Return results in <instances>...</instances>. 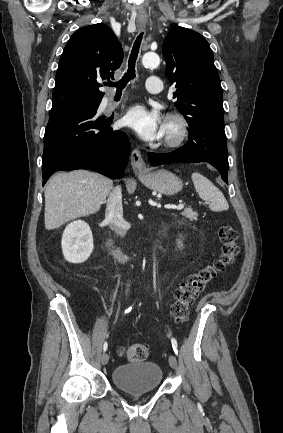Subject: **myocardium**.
I'll list each match as a JSON object with an SVG mask.
<instances>
[{"label": "myocardium", "mask_w": 283, "mask_h": 433, "mask_svg": "<svg viewBox=\"0 0 283 433\" xmlns=\"http://www.w3.org/2000/svg\"><path fill=\"white\" fill-rule=\"evenodd\" d=\"M165 122L174 123L176 129L165 133V143L162 151L172 153L179 150L188 140L191 133V123L187 116L180 112H169L165 116Z\"/></svg>", "instance_id": "obj_1"}]
</instances>
